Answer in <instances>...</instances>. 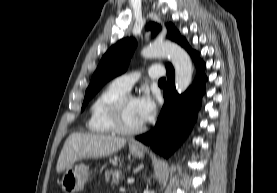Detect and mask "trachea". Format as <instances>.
I'll list each match as a JSON object with an SVG mask.
<instances>
[{"instance_id": "trachea-1", "label": "trachea", "mask_w": 277, "mask_h": 193, "mask_svg": "<svg viewBox=\"0 0 277 193\" xmlns=\"http://www.w3.org/2000/svg\"><path fill=\"white\" fill-rule=\"evenodd\" d=\"M166 79L165 78H162L159 80V83H165Z\"/></svg>"}]
</instances>
